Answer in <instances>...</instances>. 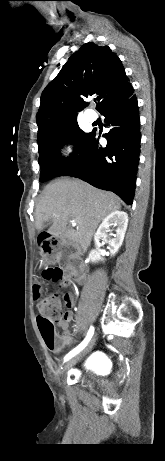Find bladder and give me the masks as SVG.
Masks as SVG:
<instances>
[{
	"label": "bladder",
	"mask_w": 165,
	"mask_h": 461,
	"mask_svg": "<svg viewBox=\"0 0 165 461\" xmlns=\"http://www.w3.org/2000/svg\"><path fill=\"white\" fill-rule=\"evenodd\" d=\"M89 367L90 369H96L97 367H99L98 361L94 360L93 362L90 363Z\"/></svg>",
	"instance_id": "bladder-1"
}]
</instances>
